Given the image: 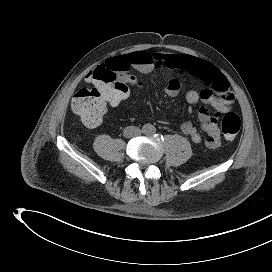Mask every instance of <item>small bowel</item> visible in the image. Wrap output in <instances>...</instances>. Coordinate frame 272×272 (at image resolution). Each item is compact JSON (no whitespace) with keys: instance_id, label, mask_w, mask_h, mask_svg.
Returning <instances> with one entry per match:
<instances>
[{"instance_id":"c3829d8e","label":"small bowel","mask_w":272,"mask_h":272,"mask_svg":"<svg viewBox=\"0 0 272 272\" xmlns=\"http://www.w3.org/2000/svg\"><path fill=\"white\" fill-rule=\"evenodd\" d=\"M113 68H121L120 77L128 84L143 87L144 83L129 73L133 68L141 74L148 75L156 68L166 74L165 93L171 97L177 96L186 78L195 85L187 90L186 102L190 105L202 102L212 107L216 113L210 114L205 107L199 111V121L206 133L203 138L196 127L189 121L181 126L182 131L190 137L193 143H204L208 148H217L221 143L218 114L228 112L235 99L227 78L211 63L186 54H163L136 51L126 55L110 58L106 64Z\"/></svg>"}]
</instances>
